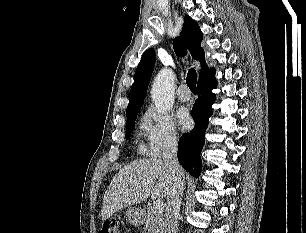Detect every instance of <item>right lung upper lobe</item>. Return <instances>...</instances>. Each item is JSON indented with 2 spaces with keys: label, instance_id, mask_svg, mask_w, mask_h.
Returning a JSON list of instances; mask_svg holds the SVG:
<instances>
[{
  "label": "right lung upper lobe",
  "instance_id": "1",
  "mask_svg": "<svg viewBox=\"0 0 306 233\" xmlns=\"http://www.w3.org/2000/svg\"><path fill=\"white\" fill-rule=\"evenodd\" d=\"M202 39L203 35L199 25L188 15H186L180 36L175 38L173 41V48L178 56H184L186 54V49H188L192 58L200 61L201 69L199 71V78L213 70L206 68L205 54L203 49L200 47ZM154 64L155 51L154 49H148L143 54L135 72L134 83L130 90V100L127 107L126 116L139 112L146 97V90L151 73L154 69Z\"/></svg>",
  "mask_w": 306,
  "mask_h": 233
}]
</instances>
